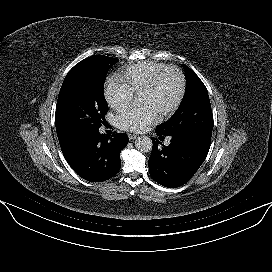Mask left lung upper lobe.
<instances>
[{"label":"left lung upper lobe","mask_w":272,"mask_h":272,"mask_svg":"<svg viewBox=\"0 0 272 272\" xmlns=\"http://www.w3.org/2000/svg\"><path fill=\"white\" fill-rule=\"evenodd\" d=\"M186 93L177 112L157 130L164 135H194L211 138L213 115L207 89L186 65Z\"/></svg>","instance_id":"1"}]
</instances>
